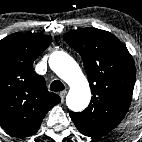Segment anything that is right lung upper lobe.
<instances>
[{
  "label": "right lung upper lobe",
  "mask_w": 142,
  "mask_h": 142,
  "mask_svg": "<svg viewBox=\"0 0 142 142\" xmlns=\"http://www.w3.org/2000/svg\"><path fill=\"white\" fill-rule=\"evenodd\" d=\"M51 36L17 32L0 40V126L14 137L35 134L46 113L60 102L32 70Z\"/></svg>",
  "instance_id": "right-lung-upper-lobe-1"
}]
</instances>
